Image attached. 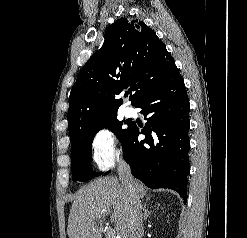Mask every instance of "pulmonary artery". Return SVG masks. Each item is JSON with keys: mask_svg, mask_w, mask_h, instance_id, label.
<instances>
[{"mask_svg": "<svg viewBox=\"0 0 247 238\" xmlns=\"http://www.w3.org/2000/svg\"><path fill=\"white\" fill-rule=\"evenodd\" d=\"M124 114L125 116L130 117L134 114V110L131 107L127 106L124 108Z\"/></svg>", "mask_w": 247, "mask_h": 238, "instance_id": "pulmonary-artery-1", "label": "pulmonary artery"}]
</instances>
